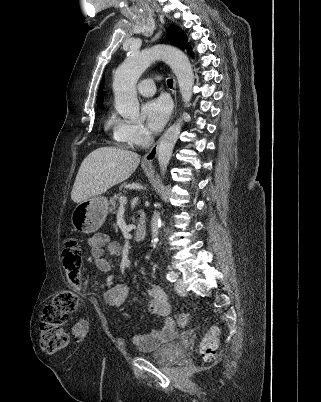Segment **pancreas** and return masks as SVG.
<instances>
[{
  "instance_id": "cf45deb5",
  "label": "pancreas",
  "mask_w": 321,
  "mask_h": 402,
  "mask_svg": "<svg viewBox=\"0 0 321 402\" xmlns=\"http://www.w3.org/2000/svg\"><path fill=\"white\" fill-rule=\"evenodd\" d=\"M122 197V193L119 194H114V196L110 199V207H109V212L110 213H115V210L117 208V200Z\"/></svg>"
}]
</instances>
